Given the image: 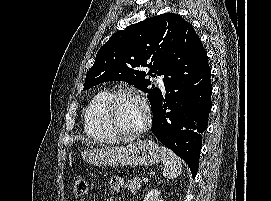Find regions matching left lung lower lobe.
Returning a JSON list of instances; mask_svg holds the SVG:
<instances>
[{
  "mask_svg": "<svg viewBox=\"0 0 271 201\" xmlns=\"http://www.w3.org/2000/svg\"><path fill=\"white\" fill-rule=\"evenodd\" d=\"M165 77L166 97L161 96L152 121V132L197 174L201 133L207 129L212 107L211 69L207 52L197 35L180 36L172 48Z\"/></svg>",
  "mask_w": 271,
  "mask_h": 201,
  "instance_id": "left-lung-lower-lobe-1",
  "label": "left lung lower lobe"
}]
</instances>
